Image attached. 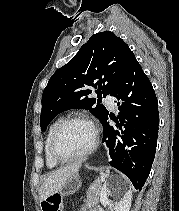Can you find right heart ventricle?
<instances>
[{
    "label": "right heart ventricle",
    "mask_w": 179,
    "mask_h": 211,
    "mask_svg": "<svg viewBox=\"0 0 179 211\" xmlns=\"http://www.w3.org/2000/svg\"><path fill=\"white\" fill-rule=\"evenodd\" d=\"M61 121H62L61 119H58L51 124V126L49 127V130L47 132L46 138H45V145H44L45 162H46L47 167L50 169L57 167L59 164L51 156L50 143H51L53 133Z\"/></svg>",
    "instance_id": "e07e8e85"
}]
</instances>
